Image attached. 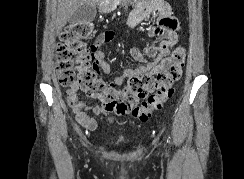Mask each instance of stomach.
<instances>
[{"label":"stomach","instance_id":"obj_1","mask_svg":"<svg viewBox=\"0 0 244 179\" xmlns=\"http://www.w3.org/2000/svg\"><path fill=\"white\" fill-rule=\"evenodd\" d=\"M100 12H104V14H108V12H113L115 10L112 0H106L104 4H102L101 8H99Z\"/></svg>","mask_w":244,"mask_h":179}]
</instances>
